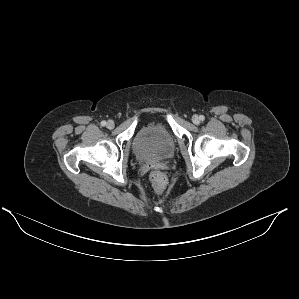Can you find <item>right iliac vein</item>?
Wrapping results in <instances>:
<instances>
[{
  "label": "right iliac vein",
  "instance_id": "right-iliac-vein-1",
  "mask_svg": "<svg viewBox=\"0 0 299 299\" xmlns=\"http://www.w3.org/2000/svg\"><path fill=\"white\" fill-rule=\"evenodd\" d=\"M106 126L108 129H113L115 124L112 120H109L107 123H106Z\"/></svg>",
  "mask_w": 299,
  "mask_h": 299
}]
</instances>
